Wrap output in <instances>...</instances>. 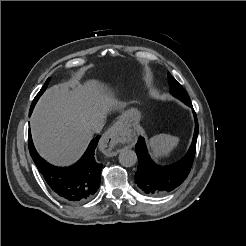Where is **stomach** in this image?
Masks as SVG:
<instances>
[{
    "label": "stomach",
    "instance_id": "stomach-1",
    "mask_svg": "<svg viewBox=\"0 0 246 246\" xmlns=\"http://www.w3.org/2000/svg\"><path fill=\"white\" fill-rule=\"evenodd\" d=\"M140 119V111L135 107H131L120 117L119 121L124 128L131 131L138 126Z\"/></svg>",
    "mask_w": 246,
    "mask_h": 246
}]
</instances>
